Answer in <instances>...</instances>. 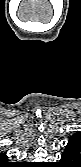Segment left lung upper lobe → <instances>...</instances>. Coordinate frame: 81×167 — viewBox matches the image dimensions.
<instances>
[{
  "mask_svg": "<svg viewBox=\"0 0 81 167\" xmlns=\"http://www.w3.org/2000/svg\"><path fill=\"white\" fill-rule=\"evenodd\" d=\"M69 140H76L81 142V133L80 132L74 133Z\"/></svg>",
  "mask_w": 81,
  "mask_h": 167,
  "instance_id": "1",
  "label": "left lung upper lobe"
}]
</instances>
